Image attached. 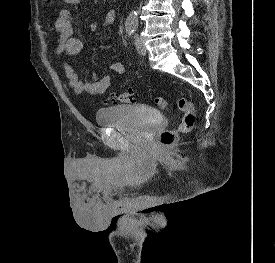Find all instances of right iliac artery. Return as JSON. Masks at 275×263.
<instances>
[{"mask_svg":"<svg viewBox=\"0 0 275 263\" xmlns=\"http://www.w3.org/2000/svg\"><path fill=\"white\" fill-rule=\"evenodd\" d=\"M126 33L128 34V37H130V36L132 35L133 31L130 30V29H127V30H126Z\"/></svg>","mask_w":275,"mask_h":263,"instance_id":"82829eb1","label":"right iliac artery"}]
</instances>
